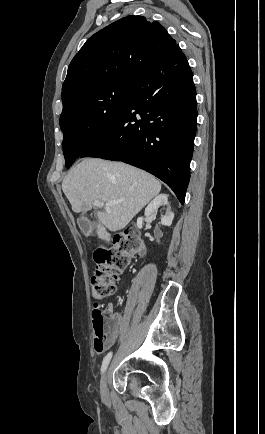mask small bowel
<instances>
[{
    "label": "small bowel",
    "instance_id": "small-bowel-1",
    "mask_svg": "<svg viewBox=\"0 0 265 434\" xmlns=\"http://www.w3.org/2000/svg\"><path fill=\"white\" fill-rule=\"evenodd\" d=\"M108 314V334L106 337L105 349L113 346L118 339L123 329L127 326V318L125 315L119 312H115L113 306L109 304L106 309ZM104 349V350H105ZM97 356H100L103 352H94Z\"/></svg>",
    "mask_w": 265,
    "mask_h": 434
}]
</instances>
